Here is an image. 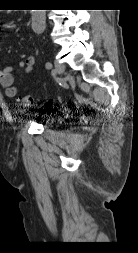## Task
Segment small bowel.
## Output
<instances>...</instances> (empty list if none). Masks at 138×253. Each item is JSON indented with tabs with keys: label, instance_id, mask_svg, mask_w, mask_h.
I'll return each mask as SVG.
<instances>
[{
	"label": "small bowel",
	"instance_id": "obj_1",
	"mask_svg": "<svg viewBox=\"0 0 138 253\" xmlns=\"http://www.w3.org/2000/svg\"><path fill=\"white\" fill-rule=\"evenodd\" d=\"M35 64L34 56H28L24 61H18L12 65L0 67V85L4 88L7 97H15L18 94V88L14 84L13 72L19 69H25L29 73Z\"/></svg>",
	"mask_w": 138,
	"mask_h": 253
}]
</instances>
